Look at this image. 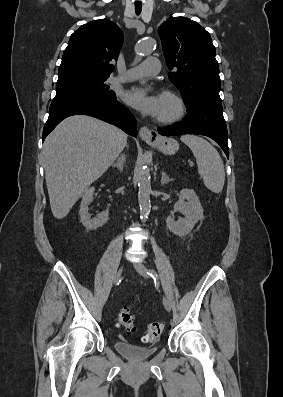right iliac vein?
<instances>
[{"label":"right iliac vein","instance_id":"1","mask_svg":"<svg viewBox=\"0 0 283 397\" xmlns=\"http://www.w3.org/2000/svg\"><path fill=\"white\" fill-rule=\"evenodd\" d=\"M122 272H123V266H121V267L119 268V270L117 271V273H116V275H115V277H114V279H113V282H114V283H116V282H118V281L120 280V278H121V276H122Z\"/></svg>","mask_w":283,"mask_h":397}]
</instances>
